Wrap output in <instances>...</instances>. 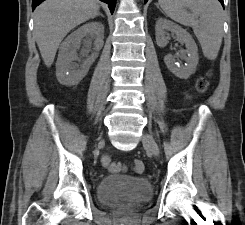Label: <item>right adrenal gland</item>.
<instances>
[{
    "label": "right adrenal gland",
    "mask_w": 245,
    "mask_h": 225,
    "mask_svg": "<svg viewBox=\"0 0 245 225\" xmlns=\"http://www.w3.org/2000/svg\"><path fill=\"white\" fill-rule=\"evenodd\" d=\"M98 16L104 17V15H103V14H101V13H99V14H98Z\"/></svg>",
    "instance_id": "obj_1"
}]
</instances>
